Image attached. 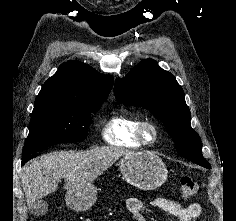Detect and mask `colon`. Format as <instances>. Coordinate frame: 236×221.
Returning <instances> with one entry per match:
<instances>
[{
    "label": "colon",
    "mask_w": 236,
    "mask_h": 221,
    "mask_svg": "<svg viewBox=\"0 0 236 221\" xmlns=\"http://www.w3.org/2000/svg\"><path fill=\"white\" fill-rule=\"evenodd\" d=\"M179 185L181 195L185 199L195 197L199 193L198 184L189 176L182 177Z\"/></svg>",
    "instance_id": "colon-1"
}]
</instances>
